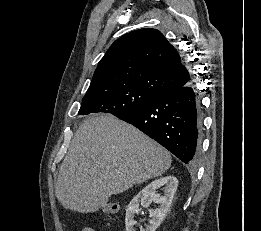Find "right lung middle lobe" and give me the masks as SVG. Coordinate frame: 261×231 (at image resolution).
I'll use <instances>...</instances> for the list:
<instances>
[{
    "instance_id": "1",
    "label": "right lung middle lobe",
    "mask_w": 261,
    "mask_h": 231,
    "mask_svg": "<svg viewBox=\"0 0 261 231\" xmlns=\"http://www.w3.org/2000/svg\"><path fill=\"white\" fill-rule=\"evenodd\" d=\"M156 98L153 93L135 86L90 92L83 97L78 114L105 112L119 117L138 110Z\"/></svg>"
}]
</instances>
